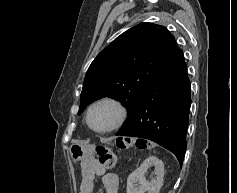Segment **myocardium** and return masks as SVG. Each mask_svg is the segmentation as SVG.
<instances>
[{
	"instance_id": "1",
	"label": "myocardium",
	"mask_w": 237,
	"mask_h": 193,
	"mask_svg": "<svg viewBox=\"0 0 237 193\" xmlns=\"http://www.w3.org/2000/svg\"><path fill=\"white\" fill-rule=\"evenodd\" d=\"M104 104L111 105L112 107L115 108L116 113H117L116 119L112 123V125H110L109 127L104 128V129H97L91 124L90 116H91L92 111L96 107H98L100 105H104ZM126 119H127L126 108L123 106V104L120 101H118L112 97H103V98L96 100L89 106L87 113H86V122H87L88 127L92 131H94L96 133H100V134L111 133V132L119 130L125 124Z\"/></svg>"
}]
</instances>
